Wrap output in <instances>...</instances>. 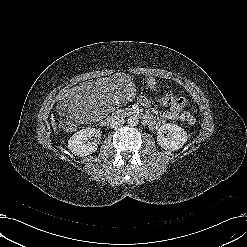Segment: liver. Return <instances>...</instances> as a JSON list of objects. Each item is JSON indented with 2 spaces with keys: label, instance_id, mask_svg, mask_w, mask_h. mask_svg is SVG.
Listing matches in <instances>:
<instances>
[{
  "label": "liver",
  "instance_id": "obj_1",
  "mask_svg": "<svg viewBox=\"0 0 247 247\" xmlns=\"http://www.w3.org/2000/svg\"><path fill=\"white\" fill-rule=\"evenodd\" d=\"M51 125H52V128H53L54 132L55 133H58V131H57V125H56V122H55L54 117L51 118Z\"/></svg>",
  "mask_w": 247,
  "mask_h": 247
}]
</instances>
